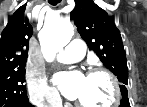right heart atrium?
<instances>
[{
	"instance_id": "d8ad5b80",
	"label": "right heart atrium",
	"mask_w": 147,
	"mask_h": 107,
	"mask_svg": "<svg viewBox=\"0 0 147 107\" xmlns=\"http://www.w3.org/2000/svg\"><path fill=\"white\" fill-rule=\"evenodd\" d=\"M28 95L31 102L37 106L54 107L60 102L59 95L51 88L45 76L37 71H31L27 76Z\"/></svg>"
}]
</instances>
